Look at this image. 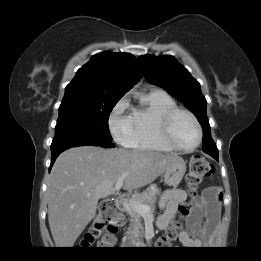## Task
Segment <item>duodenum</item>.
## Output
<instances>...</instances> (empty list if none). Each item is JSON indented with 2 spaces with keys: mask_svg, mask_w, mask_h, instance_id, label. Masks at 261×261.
I'll list each match as a JSON object with an SVG mask.
<instances>
[{
  "mask_svg": "<svg viewBox=\"0 0 261 261\" xmlns=\"http://www.w3.org/2000/svg\"><path fill=\"white\" fill-rule=\"evenodd\" d=\"M117 209L119 211V215H114L112 222L110 223L109 230L111 232H115L116 228L121 227L124 224L125 216H124V198L120 197L116 202Z\"/></svg>",
  "mask_w": 261,
  "mask_h": 261,
  "instance_id": "duodenum-1",
  "label": "duodenum"
}]
</instances>
